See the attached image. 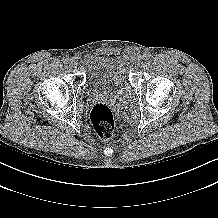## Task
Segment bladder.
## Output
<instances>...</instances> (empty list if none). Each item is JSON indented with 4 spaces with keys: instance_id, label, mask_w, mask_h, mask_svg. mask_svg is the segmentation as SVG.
<instances>
[{
    "instance_id": "1",
    "label": "bladder",
    "mask_w": 218,
    "mask_h": 218,
    "mask_svg": "<svg viewBox=\"0 0 218 218\" xmlns=\"http://www.w3.org/2000/svg\"><path fill=\"white\" fill-rule=\"evenodd\" d=\"M86 86L93 93H124L130 86L128 68L119 56L94 54L83 59Z\"/></svg>"
}]
</instances>
